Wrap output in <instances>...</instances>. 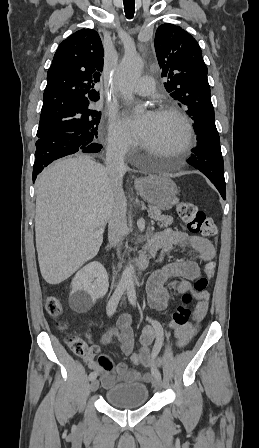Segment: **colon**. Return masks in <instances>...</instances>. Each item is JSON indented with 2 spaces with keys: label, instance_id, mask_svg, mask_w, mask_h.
Masks as SVG:
<instances>
[{
  "label": "colon",
  "instance_id": "5ec220e1",
  "mask_svg": "<svg viewBox=\"0 0 259 448\" xmlns=\"http://www.w3.org/2000/svg\"><path fill=\"white\" fill-rule=\"evenodd\" d=\"M175 206L180 219L187 225L191 232L206 237H214L217 235L218 229L214 221L207 217L203 211L199 210L195 204L184 200H178ZM214 274L215 264L213 261H210L205 265L204 275L198 278L194 283L195 290H206ZM191 301L192 295L190 293H184L182 295L180 304L172 313L169 328L184 327L189 323L191 316L189 305ZM45 308L47 313L55 319L60 318L64 313L63 303L55 296H49L46 299ZM67 344L73 353L78 356H85L89 351L85 341L76 335H70L67 339ZM131 361L133 364H140V354L133 353L131 355Z\"/></svg>",
  "mask_w": 259,
  "mask_h": 448
}]
</instances>
